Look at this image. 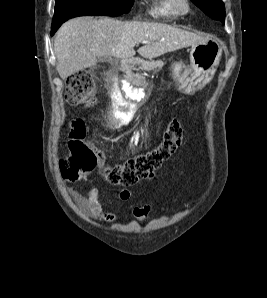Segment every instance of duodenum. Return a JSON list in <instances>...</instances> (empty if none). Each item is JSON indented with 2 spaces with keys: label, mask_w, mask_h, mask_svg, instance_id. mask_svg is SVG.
Wrapping results in <instances>:
<instances>
[{
  "label": "duodenum",
  "mask_w": 267,
  "mask_h": 298,
  "mask_svg": "<svg viewBox=\"0 0 267 298\" xmlns=\"http://www.w3.org/2000/svg\"><path fill=\"white\" fill-rule=\"evenodd\" d=\"M134 60L132 59H125L121 63V68L122 70H127L131 68L134 65ZM120 76H125L126 72L125 71H120L119 72ZM118 94H123L124 90L123 89H118L117 90ZM135 103H139V98H130V100H119V105H135Z\"/></svg>",
  "instance_id": "obj_1"
}]
</instances>
